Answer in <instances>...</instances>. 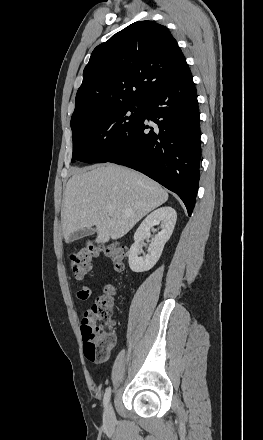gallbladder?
Segmentation results:
<instances>
[{
  "instance_id": "1",
  "label": "gallbladder",
  "mask_w": 263,
  "mask_h": 440,
  "mask_svg": "<svg viewBox=\"0 0 263 440\" xmlns=\"http://www.w3.org/2000/svg\"><path fill=\"white\" fill-rule=\"evenodd\" d=\"M95 232H96V229L93 227L83 228V229H80V230L76 231L75 233L71 234L65 240H66V243H71V242H74L75 240H78L82 237L93 235Z\"/></svg>"
}]
</instances>
